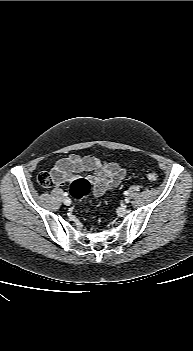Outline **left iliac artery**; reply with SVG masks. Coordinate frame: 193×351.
I'll return each instance as SVG.
<instances>
[{
  "mask_svg": "<svg viewBox=\"0 0 193 351\" xmlns=\"http://www.w3.org/2000/svg\"><path fill=\"white\" fill-rule=\"evenodd\" d=\"M128 194H129L128 191H125V192H124V195H125V196H127Z\"/></svg>",
  "mask_w": 193,
  "mask_h": 351,
  "instance_id": "left-iliac-artery-1",
  "label": "left iliac artery"
}]
</instances>
